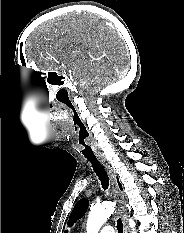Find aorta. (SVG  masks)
Instances as JSON below:
<instances>
[{
	"mask_svg": "<svg viewBox=\"0 0 184 233\" xmlns=\"http://www.w3.org/2000/svg\"><path fill=\"white\" fill-rule=\"evenodd\" d=\"M115 210V203L103 202L100 205L94 206L89 213L86 231L87 233H98L102 225L113 214ZM129 225L131 233H136L135 222L130 219Z\"/></svg>",
	"mask_w": 184,
	"mask_h": 233,
	"instance_id": "obj_1",
	"label": "aorta"
}]
</instances>
